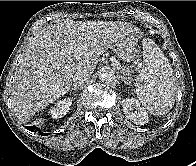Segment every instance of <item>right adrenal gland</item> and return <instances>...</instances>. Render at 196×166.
<instances>
[{
  "label": "right adrenal gland",
  "mask_w": 196,
  "mask_h": 166,
  "mask_svg": "<svg viewBox=\"0 0 196 166\" xmlns=\"http://www.w3.org/2000/svg\"><path fill=\"white\" fill-rule=\"evenodd\" d=\"M82 88H83L82 85H77V84H75V85H73V86L70 88V92H72L73 90L82 89Z\"/></svg>",
  "instance_id": "2a0ac1e0"
}]
</instances>
